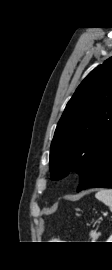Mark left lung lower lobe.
I'll return each instance as SVG.
<instances>
[{"instance_id": "0a47b994", "label": "left lung lower lobe", "mask_w": 112, "mask_h": 270, "mask_svg": "<svg viewBox=\"0 0 112 270\" xmlns=\"http://www.w3.org/2000/svg\"><path fill=\"white\" fill-rule=\"evenodd\" d=\"M92 187L112 188V146L105 152L95 171L80 182L77 191Z\"/></svg>"}]
</instances>
